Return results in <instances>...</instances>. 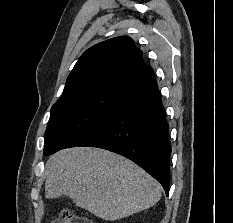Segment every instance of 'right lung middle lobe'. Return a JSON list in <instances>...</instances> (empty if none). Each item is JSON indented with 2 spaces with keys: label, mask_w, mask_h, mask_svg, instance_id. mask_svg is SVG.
<instances>
[{
  "label": "right lung middle lobe",
  "mask_w": 233,
  "mask_h": 223,
  "mask_svg": "<svg viewBox=\"0 0 233 223\" xmlns=\"http://www.w3.org/2000/svg\"><path fill=\"white\" fill-rule=\"evenodd\" d=\"M122 91L91 90L60 97L51 108L44 153L79 146L122 109Z\"/></svg>",
  "instance_id": "obj_1"
}]
</instances>
